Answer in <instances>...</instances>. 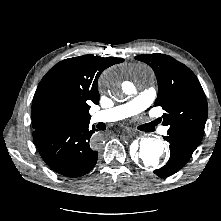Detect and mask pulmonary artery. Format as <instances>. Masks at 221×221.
<instances>
[{"mask_svg": "<svg viewBox=\"0 0 221 221\" xmlns=\"http://www.w3.org/2000/svg\"><path fill=\"white\" fill-rule=\"evenodd\" d=\"M155 96L156 91L154 88L146 89L127 103L117 105L109 109L96 111L92 115V121L96 123L114 122L137 115L152 104ZM161 132L166 133L167 127H162Z\"/></svg>", "mask_w": 221, "mask_h": 221, "instance_id": "e3ab8cb5", "label": "pulmonary artery"}]
</instances>
